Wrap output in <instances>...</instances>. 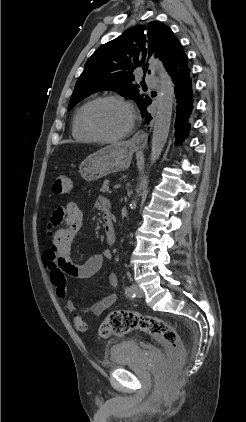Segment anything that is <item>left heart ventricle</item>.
<instances>
[{"mask_svg": "<svg viewBox=\"0 0 246 422\" xmlns=\"http://www.w3.org/2000/svg\"><path fill=\"white\" fill-rule=\"evenodd\" d=\"M91 122L99 133L105 136H116L129 126L130 113L122 104L106 101L93 108Z\"/></svg>", "mask_w": 246, "mask_h": 422, "instance_id": "obj_1", "label": "left heart ventricle"}]
</instances>
